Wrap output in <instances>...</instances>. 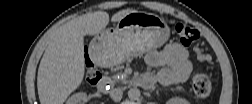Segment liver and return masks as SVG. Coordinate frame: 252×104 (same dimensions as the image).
Instances as JSON below:
<instances>
[{"label": "liver", "instance_id": "1", "mask_svg": "<svg viewBox=\"0 0 252 104\" xmlns=\"http://www.w3.org/2000/svg\"><path fill=\"white\" fill-rule=\"evenodd\" d=\"M134 11L121 10L111 21L118 22ZM108 24L109 14L96 11L79 16L56 31L38 69L37 89L42 104H63L80 86L85 72L84 36L96 35Z\"/></svg>", "mask_w": 252, "mask_h": 104}]
</instances>
